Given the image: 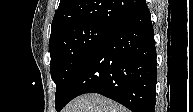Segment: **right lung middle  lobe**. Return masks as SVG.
<instances>
[{"label":"right lung middle lobe","instance_id":"1","mask_svg":"<svg viewBox=\"0 0 193 112\" xmlns=\"http://www.w3.org/2000/svg\"><path fill=\"white\" fill-rule=\"evenodd\" d=\"M110 31L98 24L83 23L67 27L50 38V70L56 84L55 108L58 112L80 67Z\"/></svg>","mask_w":193,"mask_h":112}]
</instances>
